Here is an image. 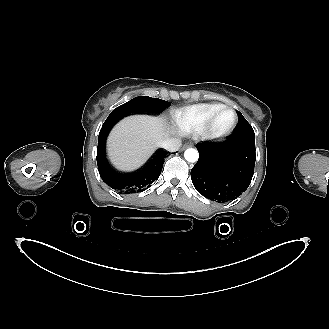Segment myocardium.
I'll return each mask as SVG.
<instances>
[{
  "mask_svg": "<svg viewBox=\"0 0 329 329\" xmlns=\"http://www.w3.org/2000/svg\"><path fill=\"white\" fill-rule=\"evenodd\" d=\"M226 110H229L234 114V121L228 130H226L224 132H217L214 130V123H215L217 117L223 111H226ZM237 123H238V114H237V111L235 110V108L224 105L221 108L217 109L208 118V120L201 127V129L198 131V133H199L200 137H202L203 139H207V140H216V139L224 138V137L230 135L234 131V129L237 126Z\"/></svg>",
  "mask_w": 329,
  "mask_h": 329,
  "instance_id": "myocardium-1",
  "label": "myocardium"
}]
</instances>
